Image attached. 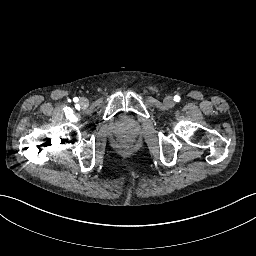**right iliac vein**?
Masks as SVG:
<instances>
[{
    "instance_id": "right-iliac-vein-1",
    "label": "right iliac vein",
    "mask_w": 256,
    "mask_h": 256,
    "mask_svg": "<svg viewBox=\"0 0 256 256\" xmlns=\"http://www.w3.org/2000/svg\"><path fill=\"white\" fill-rule=\"evenodd\" d=\"M79 103L82 107H86L88 100L86 98H81Z\"/></svg>"
}]
</instances>
